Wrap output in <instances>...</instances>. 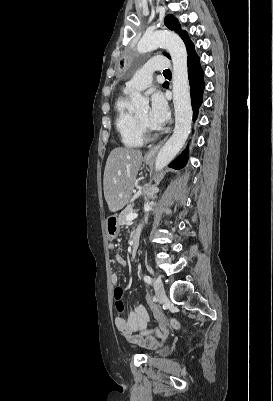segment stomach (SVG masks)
<instances>
[{"mask_svg":"<svg viewBox=\"0 0 273 401\" xmlns=\"http://www.w3.org/2000/svg\"><path fill=\"white\" fill-rule=\"evenodd\" d=\"M153 158H149V156H144L143 162H146V164H150L152 162ZM120 233V227L118 225V217L116 215H111V217H108L106 219V235L108 241H113V239H117L118 235Z\"/></svg>","mask_w":273,"mask_h":401,"instance_id":"1","label":"stomach"}]
</instances>
